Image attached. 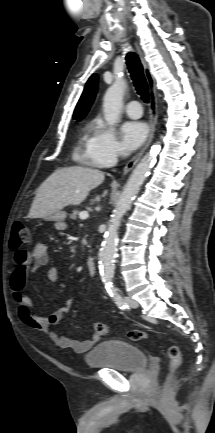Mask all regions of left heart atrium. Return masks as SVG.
<instances>
[{"label": "left heart atrium", "mask_w": 215, "mask_h": 433, "mask_svg": "<svg viewBox=\"0 0 215 433\" xmlns=\"http://www.w3.org/2000/svg\"><path fill=\"white\" fill-rule=\"evenodd\" d=\"M123 146L127 151L138 148L147 136V127L143 122L129 121L121 128Z\"/></svg>", "instance_id": "39dd6f15"}]
</instances>
